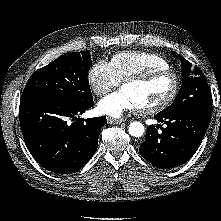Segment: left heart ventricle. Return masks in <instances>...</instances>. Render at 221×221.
Returning a JSON list of instances; mask_svg holds the SVG:
<instances>
[{
    "instance_id": "1",
    "label": "left heart ventricle",
    "mask_w": 221,
    "mask_h": 221,
    "mask_svg": "<svg viewBox=\"0 0 221 221\" xmlns=\"http://www.w3.org/2000/svg\"><path fill=\"white\" fill-rule=\"evenodd\" d=\"M172 78L163 76L145 84L130 83L122 87L139 108L153 106L163 101L171 92Z\"/></svg>"
}]
</instances>
